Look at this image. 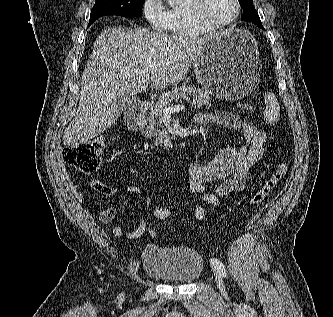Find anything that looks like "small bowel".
Wrapping results in <instances>:
<instances>
[{"instance_id": "small-bowel-1", "label": "small bowel", "mask_w": 333, "mask_h": 317, "mask_svg": "<svg viewBox=\"0 0 333 317\" xmlns=\"http://www.w3.org/2000/svg\"><path fill=\"white\" fill-rule=\"evenodd\" d=\"M195 122L199 125L214 122L238 134L237 140L223 146L211 160L196 161L190 166L189 190L197 196L193 213L196 220L202 221L206 216L204 204L218 207L225 196L240 194L245 190L248 172L263 157L266 132L251 121L225 111L197 114ZM91 185L100 194L106 196L113 194V188L98 179H92ZM66 187L75 203L84 200V194L70 180L66 181ZM125 191L141 198L144 211L152 207L151 198L141 187L130 185ZM115 214L114 205L107 204L100 212L99 220L105 224L109 223ZM146 231V221L142 212L136 228L126 233L125 237L137 239ZM111 234L115 237L122 236V227L115 226Z\"/></svg>"}]
</instances>
